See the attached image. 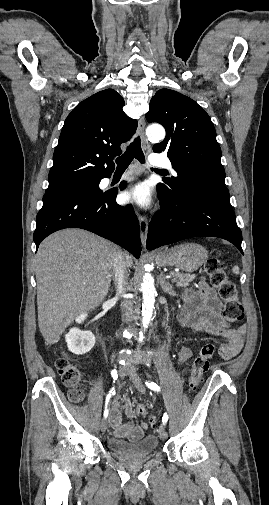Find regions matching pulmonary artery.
Segmentation results:
<instances>
[{
    "label": "pulmonary artery",
    "mask_w": 269,
    "mask_h": 505,
    "mask_svg": "<svg viewBox=\"0 0 269 505\" xmlns=\"http://www.w3.org/2000/svg\"><path fill=\"white\" fill-rule=\"evenodd\" d=\"M149 160L151 165L171 169L172 173L176 174V172L172 169L170 161L167 158H163L159 155L152 154L150 155Z\"/></svg>",
    "instance_id": "1"
}]
</instances>
